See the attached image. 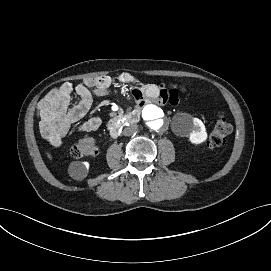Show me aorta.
Returning a JSON list of instances; mask_svg holds the SVG:
<instances>
[{"label":"aorta","mask_w":271,"mask_h":271,"mask_svg":"<svg viewBox=\"0 0 271 271\" xmlns=\"http://www.w3.org/2000/svg\"><path fill=\"white\" fill-rule=\"evenodd\" d=\"M169 112L157 104H147L141 111V116L151 131L166 130L169 122Z\"/></svg>","instance_id":"aorta-1"}]
</instances>
